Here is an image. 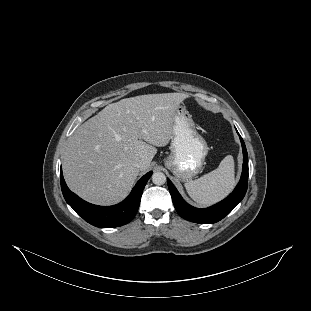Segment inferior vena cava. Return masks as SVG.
<instances>
[{
	"label": "inferior vena cava",
	"instance_id": "obj_1",
	"mask_svg": "<svg viewBox=\"0 0 311 311\" xmlns=\"http://www.w3.org/2000/svg\"><path fill=\"white\" fill-rule=\"evenodd\" d=\"M143 165V161L141 159H136L134 162H133V166L137 167V168H140L141 166Z\"/></svg>",
	"mask_w": 311,
	"mask_h": 311
}]
</instances>
